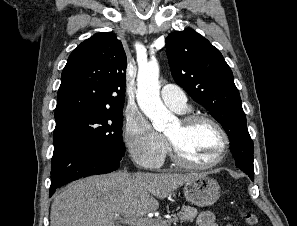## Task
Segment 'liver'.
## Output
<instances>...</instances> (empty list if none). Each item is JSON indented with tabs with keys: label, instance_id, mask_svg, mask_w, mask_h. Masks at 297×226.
I'll return each instance as SVG.
<instances>
[{
	"label": "liver",
	"instance_id": "1",
	"mask_svg": "<svg viewBox=\"0 0 297 226\" xmlns=\"http://www.w3.org/2000/svg\"><path fill=\"white\" fill-rule=\"evenodd\" d=\"M204 174L113 172L69 184L53 201L50 226H119L158 209L186 182Z\"/></svg>",
	"mask_w": 297,
	"mask_h": 226
}]
</instances>
